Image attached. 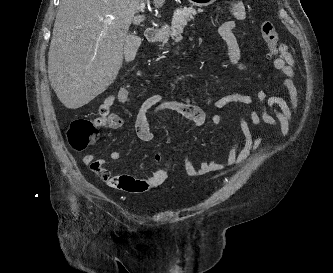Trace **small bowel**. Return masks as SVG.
<instances>
[{"instance_id": "c3829d8e", "label": "small bowel", "mask_w": 333, "mask_h": 273, "mask_svg": "<svg viewBox=\"0 0 333 273\" xmlns=\"http://www.w3.org/2000/svg\"><path fill=\"white\" fill-rule=\"evenodd\" d=\"M223 8L224 6H220L219 10ZM229 9L234 20L226 21L219 27V34L228 47L229 62L239 72L258 77L251 67L241 59L240 47L234 34L237 22L245 18L244 7L241 3L233 1L229 5ZM269 56L272 58L273 69L284 76L282 85L289 95L290 102H287L281 96H269L266 91L258 88L256 90V99L262 103V109L257 111L251 108L249 111V120L256 127L265 124L272 129H278L281 135L286 137L291 130L293 114L298 107L296 62L288 46L283 43L278 44L275 51L269 52ZM137 76H142V71H137ZM203 95H209V100L200 101L210 103V107L214 109H223L232 103L252 107L254 101L251 96L242 93H229L221 97H214L211 94ZM115 102H132V95L129 91L120 89L117 94L109 95L105 100H100L97 107V121L98 123H107L108 118H111L105 126L111 129H120L124 126L125 122L121 117L117 116L116 111H111V107ZM162 111L175 112L197 126L204 124L206 120V114L202 109H198L196 104L172 100L165 94H154L142 102L136 114L135 129L140 140L151 141L154 138L150 117ZM209 119L214 125H220L223 122L222 115L218 113L211 114ZM238 126L244 137L243 147L240 148L238 138L236 137L228 150L226 159L222 162L216 158L210 160L199 159L196 166L187 155L178 154L177 158L186 174L191 178H201L211 172L223 171L239 166L251 153L256 152L262 143V138H253L249 121L242 113H238ZM109 156L111 160L117 161L121 158V153L119 151H112ZM82 160L84 164L88 165L97 159L94 154L89 153L84 155ZM99 160L105 165V160ZM157 160L161 162V166L151 176L136 178L131 175H115L110 186L124 192L143 193L162 185L168 178L172 164L161 155H157Z\"/></svg>"}]
</instances>
